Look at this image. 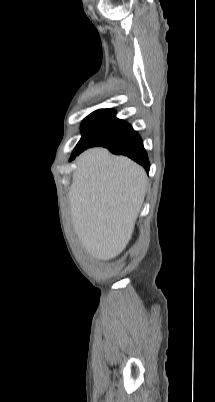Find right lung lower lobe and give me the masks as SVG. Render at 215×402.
<instances>
[{
    "label": "right lung lower lobe",
    "mask_w": 215,
    "mask_h": 402,
    "mask_svg": "<svg viewBox=\"0 0 215 402\" xmlns=\"http://www.w3.org/2000/svg\"><path fill=\"white\" fill-rule=\"evenodd\" d=\"M92 146H104L114 154H122L130 157L137 163L144 166L145 170L149 172L150 164L148 161L147 153L143 147V142L136 131L132 128L125 133L123 137L111 144L103 145H80L74 149L71 159L78 155L83 150Z\"/></svg>",
    "instance_id": "right-lung-lower-lobe-1"
}]
</instances>
